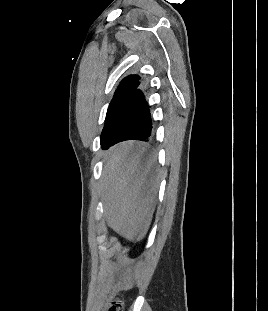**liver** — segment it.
I'll use <instances>...</instances> for the list:
<instances>
[{"instance_id":"obj_1","label":"liver","mask_w":268,"mask_h":311,"mask_svg":"<svg viewBox=\"0 0 268 311\" xmlns=\"http://www.w3.org/2000/svg\"><path fill=\"white\" fill-rule=\"evenodd\" d=\"M102 199L108 226L129 241L145 237L155 210L159 187L155 160L146 147L127 141L106 154Z\"/></svg>"}]
</instances>
